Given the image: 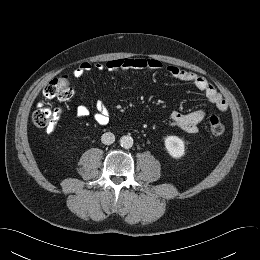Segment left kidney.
Listing matches in <instances>:
<instances>
[{"instance_id":"5707ae66","label":"left kidney","mask_w":260,"mask_h":260,"mask_svg":"<svg viewBox=\"0 0 260 260\" xmlns=\"http://www.w3.org/2000/svg\"><path fill=\"white\" fill-rule=\"evenodd\" d=\"M165 148L173 158H181L185 154V143L177 136H167L165 138Z\"/></svg>"}]
</instances>
